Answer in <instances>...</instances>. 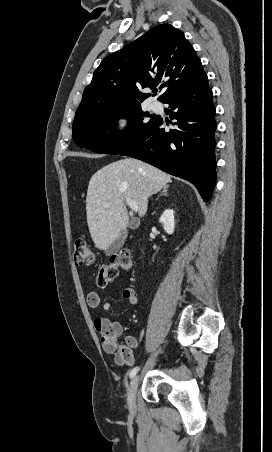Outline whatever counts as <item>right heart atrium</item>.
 I'll use <instances>...</instances> for the list:
<instances>
[{
	"label": "right heart atrium",
	"instance_id": "obj_1",
	"mask_svg": "<svg viewBox=\"0 0 272 452\" xmlns=\"http://www.w3.org/2000/svg\"><path fill=\"white\" fill-rule=\"evenodd\" d=\"M131 118L126 113L116 114L111 120V130L114 134H122L129 128Z\"/></svg>",
	"mask_w": 272,
	"mask_h": 452
}]
</instances>
